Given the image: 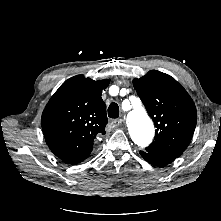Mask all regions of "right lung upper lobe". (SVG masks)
Instances as JSON below:
<instances>
[{
	"mask_svg": "<svg viewBox=\"0 0 221 221\" xmlns=\"http://www.w3.org/2000/svg\"><path fill=\"white\" fill-rule=\"evenodd\" d=\"M109 80L83 75L66 80L51 97L41 124L47 145L61 160L77 164L89 157L93 144L105 134L106 105L101 98Z\"/></svg>",
	"mask_w": 221,
	"mask_h": 221,
	"instance_id": "obj_1",
	"label": "right lung upper lobe"
}]
</instances>
